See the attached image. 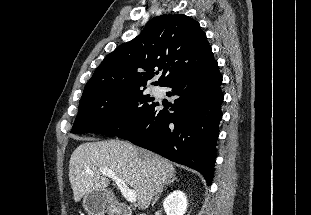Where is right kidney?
I'll return each mask as SVG.
<instances>
[{"mask_svg": "<svg viewBox=\"0 0 311 215\" xmlns=\"http://www.w3.org/2000/svg\"><path fill=\"white\" fill-rule=\"evenodd\" d=\"M187 205V197L180 190L171 192L163 202V208L167 215H184Z\"/></svg>", "mask_w": 311, "mask_h": 215, "instance_id": "obj_1", "label": "right kidney"}]
</instances>
